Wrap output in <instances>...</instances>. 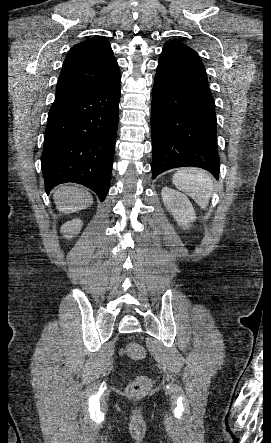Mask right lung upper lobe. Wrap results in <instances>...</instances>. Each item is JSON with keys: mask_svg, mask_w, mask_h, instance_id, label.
<instances>
[{"mask_svg": "<svg viewBox=\"0 0 271 443\" xmlns=\"http://www.w3.org/2000/svg\"><path fill=\"white\" fill-rule=\"evenodd\" d=\"M119 78V66L110 43L102 37H94L74 45L68 52L56 95L106 86Z\"/></svg>", "mask_w": 271, "mask_h": 443, "instance_id": "right-lung-upper-lobe-1", "label": "right lung upper lobe"}]
</instances>
